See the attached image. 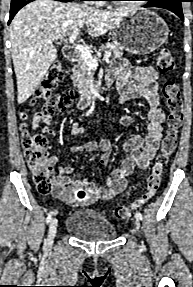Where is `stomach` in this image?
<instances>
[{"label":"stomach","instance_id":"stomach-1","mask_svg":"<svg viewBox=\"0 0 193 287\" xmlns=\"http://www.w3.org/2000/svg\"><path fill=\"white\" fill-rule=\"evenodd\" d=\"M169 28L156 13L138 10L124 17L112 29L114 43L137 55H147L158 49L167 39Z\"/></svg>","mask_w":193,"mask_h":287}]
</instances>
